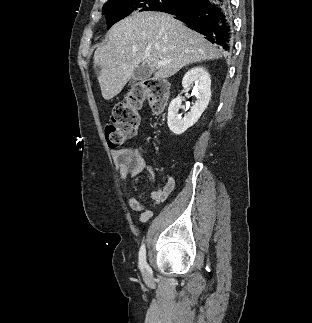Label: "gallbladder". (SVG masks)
<instances>
[{"label": "gallbladder", "instance_id": "1", "mask_svg": "<svg viewBox=\"0 0 312 323\" xmlns=\"http://www.w3.org/2000/svg\"><path fill=\"white\" fill-rule=\"evenodd\" d=\"M150 76H152V72L148 66H138L133 72L132 80L133 82H138V80H146Z\"/></svg>", "mask_w": 312, "mask_h": 323}]
</instances>
